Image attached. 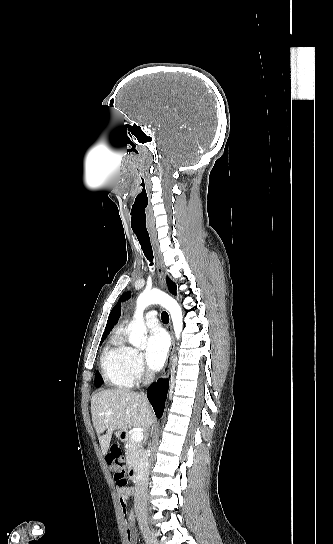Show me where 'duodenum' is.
<instances>
[{"label": "duodenum", "instance_id": "410a0bca", "mask_svg": "<svg viewBox=\"0 0 333 544\" xmlns=\"http://www.w3.org/2000/svg\"><path fill=\"white\" fill-rule=\"evenodd\" d=\"M121 437H122L123 440H126L127 439V434L123 433ZM128 475H129V478L133 482H138L142 477L141 471L137 466H131L128 469Z\"/></svg>", "mask_w": 333, "mask_h": 544}]
</instances>
